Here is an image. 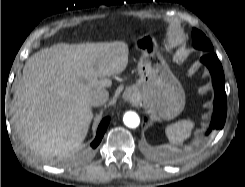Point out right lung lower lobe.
Instances as JSON below:
<instances>
[{
    "mask_svg": "<svg viewBox=\"0 0 245 187\" xmlns=\"http://www.w3.org/2000/svg\"><path fill=\"white\" fill-rule=\"evenodd\" d=\"M109 122H110V118L107 117L104 120H102V122L100 123V125L98 127V130H97L96 138L91 143V147L93 149H95L99 145V143H100V141H101V139H102V137H103V135H104V133H105V131L107 129V126H108Z\"/></svg>",
    "mask_w": 245,
    "mask_h": 187,
    "instance_id": "obj_1",
    "label": "right lung lower lobe"
}]
</instances>
